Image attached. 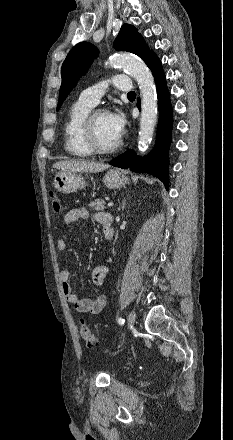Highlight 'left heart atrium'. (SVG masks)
<instances>
[{
  "instance_id": "1",
  "label": "left heart atrium",
  "mask_w": 233,
  "mask_h": 440,
  "mask_svg": "<svg viewBox=\"0 0 233 440\" xmlns=\"http://www.w3.org/2000/svg\"><path fill=\"white\" fill-rule=\"evenodd\" d=\"M109 119L114 131L120 137L125 127V119L123 115L120 113H110Z\"/></svg>"
}]
</instances>
